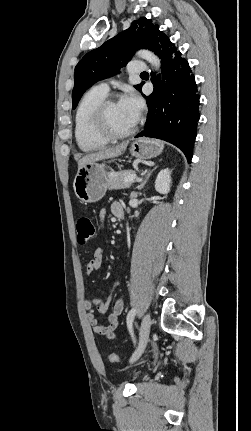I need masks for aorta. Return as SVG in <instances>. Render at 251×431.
I'll return each mask as SVG.
<instances>
[{"label":"aorta","mask_w":251,"mask_h":431,"mask_svg":"<svg viewBox=\"0 0 251 431\" xmlns=\"http://www.w3.org/2000/svg\"><path fill=\"white\" fill-rule=\"evenodd\" d=\"M136 55L139 58L145 59L146 61H148L149 63H151L153 65V67L155 68V70L157 72H159L160 69V60L159 58L154 55L152 52L148 51V50H140L136 53Z\"/></svg>","instance_id":"aorta-1"}]
</instances>
